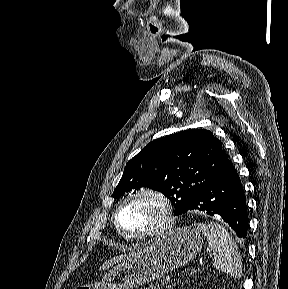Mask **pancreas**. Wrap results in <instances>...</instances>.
I'll return each instance as SVG.
<instances>
[{"label": "pancreas", "mask_w": 288, "mask_h": 289, "mask_svg": "<svg viewBox=\"0 0 288 289\" xmlns=\"http://www.w3.org/2000/svg\"><path fill=\"white\" fill-rule=\"evenodd\" d=\"M144 289H160L158 285H150L149 287H146Z\"/></svg>", "instance_id": "obj_1"}]
</instances>
